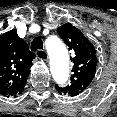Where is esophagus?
Listing matches in <instances>:
<instances>
[{"label": "esophagus", "instance_id": "obj_1", "mask_svg": "<svg viewBox=\"0 0 117 117\" xmlns=\"http://www.w3.org/2000/svg\"><path fill=\"white\" fill-rule=\"evenodd\" d=\"M36 55L40 60H43V61H47L49 58L48 53L45 50H38L36 52Z\"/></svg>", "mask_w": 117, "mask_h": 117}]
</instances>
